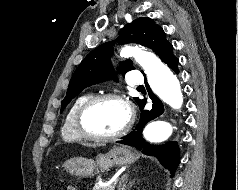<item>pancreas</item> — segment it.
Segmentation results:
<instances>
[{"label": "pancreas", "instance_id": "obj_1", "mask_svg": "<svg viewBox=\"0 0 238 190\" xmlns=\"http://www.w3.org/2000/svg\"><path fill=\"white\" fill-rule=\"evenodd\" d=\"M93 190H115V185L101 186L99 183H95Z\"/></svg>", "mask_w": 238, "mask_h": 190}]
</instances>
